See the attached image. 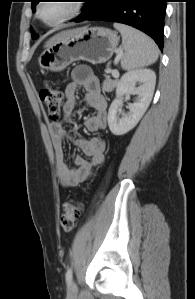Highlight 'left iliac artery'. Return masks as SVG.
Returning <instances> with one entry per match:
<instances>
[{
    "mask_svg": "<svg viewBox=\"0 0 195 299\" xmlns=\"http://www.w3.org/2000/svg\"><path fill=\"white\" fill-rule=\"evenodd\" d=\"M72 280V268L70 267L66 273V282L69 284Z\"/></svg>",
    "mask_w": 195,
    "mask_h": 299,
    "instance_id": "44dca946",
    "label": "left iliac artery"
}]
</instances>
